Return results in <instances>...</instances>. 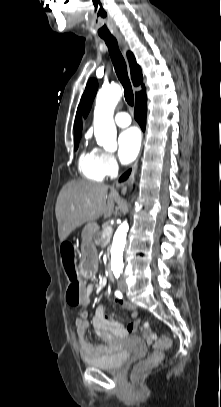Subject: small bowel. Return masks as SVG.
Here are the masks:
<instances>
[{"mask_svg":"<svg viewBox=\"0 0 221 407\" xmlns=\"http://www.w3.org/2000/svg\"><path fill=\"white\" fill-rule=\"evenodd\" d=\"M94 285L88 284L84 289V299L82 303V309L79 312L78 317L75 320L77 345L81 357L84 360L103 357L114 350L117 344V340L127 336L129 333H133L137 330L140 323V313L133 312V316L136 321L128 326L114 320L112 317L104 313L105 305H100L95 315L91 320V325L96 335L102 340V344L93 346L86 339V330L89 327V314L86 310L87 305L90 302V297L94 292ZM117 297V296H116ZM117 302L124 308L132 309V305L117 297Z\"/></svg>","mask_w":221,"mask_h":407,"instance_id":"1","label":"small bowel"}]
</instances>
